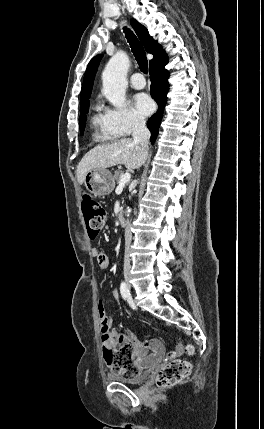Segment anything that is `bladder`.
<instances>
[{
	"label": "bladder",
	"mask_w": 264,
	"mask_h": 429,
	"mask_svg": "<svg viewBox=\"0 0 264 429\" xmlns=\"http://www.w3.org/2000/svg\"><path fill=\"white\" fill-rule=\"evenodd\" d=\"M149 377V372H142L133 377H124L120 375L110 374L109 378L115 382L126 385H137L144 382Z\"/></svg>",
	"instance_id": "obj_1"
}]
</instances>
